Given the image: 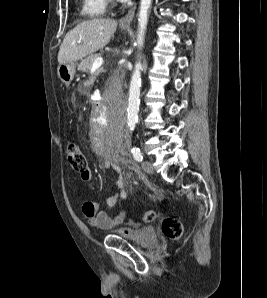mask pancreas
Wrapping results in <instances>:
<instances>
[{"label": "pancreas", "mask_w": 267, "mask_h": 298, "mask_svg": "<svg viewBox=\"0 0 267 298\" xmlns=\"http://www.w3.org/2000/svg\"><path fill=\"white\" fill-rule=\"evenodd\" d=\"M101 54H93L87 57L86 59L82 60L81 63L78 65V70L84 71V72H89L92 68L93 62L97 57H100ZM101 69L98 70V72Z\"/></svg>", "instance_id": "1"}]
</instances>
